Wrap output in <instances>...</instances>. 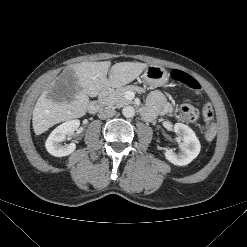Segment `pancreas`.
I'll list each match as a JSON object with an SVG mask.
<instances>
[{"label": "pancreas", "mask_w": 247, "mask_h": 247, "mask_svg": "<svg viewBox=\"0 0 247 247\" xmlns=\"http://www.w3.org/2000/svg\"><path fill=\"white\" fill-rule=\"evenodd\" d=\"M127 91L143 92L144 89L134 85H128L116 90H113L108 97L103 100L104 105L110 108H120L125 105L131 104L132 101L125 98Z\"/></svg>", "instance_id": "pancreas-1"}]
</instances>
